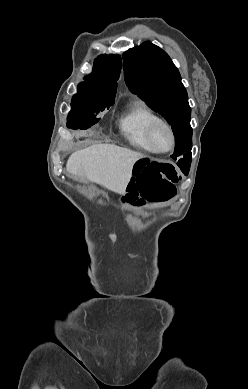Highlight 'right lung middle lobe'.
Instances as JSON below:
<instances>
[{"instance_id": "1", "label": "right lung middle lobe", "mask_w": 248, "mask_h": 389, "mask_svg": "<svg viewBox=\"0 0 248 389\" xmlns=\"http://www.w3.org/2000/svg\"><path fill=\"white\" fill-rule=\"evenodd\" d=\"M115 102V96L98 94L87 91L82 85H78V92L73 96L70 111L67 119V126L73 129H87L97 123L100 119L96 114L109 109Z\"/></svg>"}]
</instances>
